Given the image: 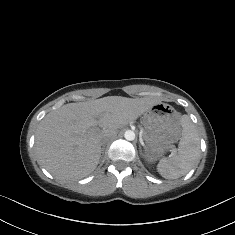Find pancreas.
<instances>
[{
	"label": "pancreas",
	"instance_id": "1",
	"mask_svg": "<svg viewBox=\"0 0 235 235\" xmlns=\"http://www.w3.org/2000/svg\"><path fill=\"white\" fill-rule=\"evenodd\" d=\"M144 136H145L144 138H146V137H147V133H146V132L144 133Z\"/></svg>",
	"mask_w": 235,
	"mask_h": 235
}]
</instances>
